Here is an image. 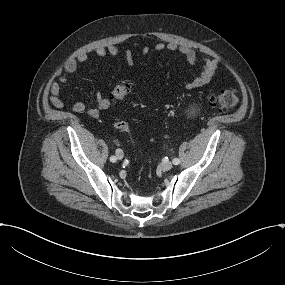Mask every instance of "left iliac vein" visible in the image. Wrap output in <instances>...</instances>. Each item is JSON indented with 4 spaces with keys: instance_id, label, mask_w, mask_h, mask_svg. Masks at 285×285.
Wrapping results in <instances>:
<instances>
[{
    "instance_id": "obj_1",
    "label": "left iliac vein",
    "mask_w": 285,
    "mask_h": 285,
    "mask_svg": "<svg viewBox=\"0 0 285 285\" xmlns=\"http://www.w3.org/2000/svg\"><path fill=\"white\" fill-rule=\"evenodd\" d=\"M172 166H173L172 162H169V161L161 164V168L163 170H170L172 168Z\"/></svg>"
}]
</instances>
